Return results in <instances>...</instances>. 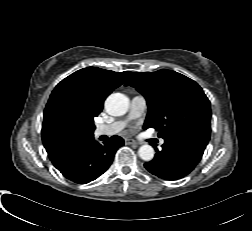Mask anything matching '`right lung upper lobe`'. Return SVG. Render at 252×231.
I'll use <instances>...</instances> for the list:
<instances>
[{
    "instance_id": "right-lung-upper-lobe-1",
    "label": "right lung upper lobe",
    "mask_w": 252,
    "mask_h": 231,
    "mask_svg": "<svg viewBox=\"0 0 252 231\" xmlns=\"http://www.w3.org/2000/svg\"><path fill=\"white\" fill-rule=\"evenodd\" d=\"M129 74V71L114 72L97 67H87L74 72L55 87L44 110L42 126L43 145L55 167L64 162L69 147L77 139L93 135V132L76 138H65L58 135L52 126L54 108L59 103L68 104L95 129L93 118L102 111L104 100L124 82Z\"/></svg>"
}]
</instances>
